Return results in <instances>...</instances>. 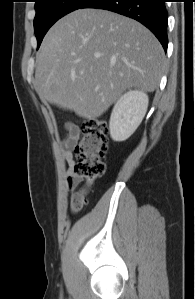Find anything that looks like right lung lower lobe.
Segmentation results:
<instances>
[{"label": "right lung lower lobe", "mask_w": 195, "mask_h": 299, "mask_svg": "<svg viewBox=\"0 0 195 299\" xmlns=\"http://www.w3.org/2000/svg\"><path fill=\"white\" fill-rule=\"evenodd\" d=\"M166 0H88L81 8H96L113 11L146 26L167 50Z\"/></svg>", "instance_id": "right-lung-lower-lobe-1"}]
</instances>
